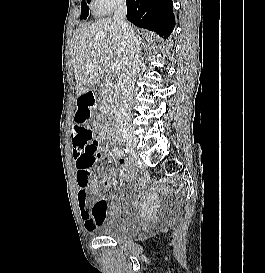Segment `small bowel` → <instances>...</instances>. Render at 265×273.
Segmentation results:
<instances>
[{"instance_id": "small-bowel-1", "label": "small bowel", "mask_w": 265, "mask_h": 273, "mask_svg": "<svg viewBox=\"0 0 265 273\" xmlns=\"http://www.w3.org/2000/svg\"><path fill=\"white\" fill-rule=\"evenodd\" d=\"M93 106L94 99L90 94H83L77 98L76 122L71 131L78 207L85 229L89 233H94L97 226L105 220L109 213L105 198L99 194V186H108L113 182L118 172L124 175L129 166L128 160L122 156L119 159L120 169L113 168L108 175L100 176L93 174L94 167L84 165L87 157V144H77V142L80 138L81 129H88V124L80 123H85L90 119ZM91 197H95L93 205H90ZM113 209L117 210L118 208Z\"/></svg>"}]
</instances>
